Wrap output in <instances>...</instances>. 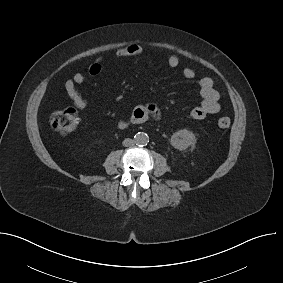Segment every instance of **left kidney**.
Returning <instances> with one entry per match:
<instances>
[{
    "label": "left kidney",
    "instance_id": "left-kidney-1",
    "mask_svg": "<svg viewBox=\"0 0 283 283\" xmlns=\"http://www.w3.org/2000/svg\"><path fill=\"white\" fill-rule=\"evenodd\" d=\"M170 143L175 149L182 151L190 146H194L196 143V137L193 132L183 129L172 135Z\"/></svg>",
    "mask_w": 283,
    "mask_h": 283
}]
</instances>
